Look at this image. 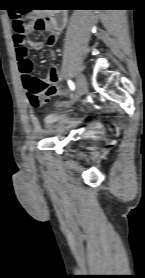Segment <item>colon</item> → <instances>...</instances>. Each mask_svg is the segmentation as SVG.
I'll list each match as a JSON object with an SVG mask.
<instances>
[{"mask_svg":"<svg viewBox=\"0 0 145 278\" xmlns=\"http://www.w3.org/2000/svg\"><path fill=\"white\" fill-rule=\"evenodd\" d=\"M12 26L14 30V37L17 42H20L23 46L22 47H16V55L19 58H23L27 54V48L26 44L28 43V37L26 36L25 30L26 26L21 21V19L17 17L12 18ZM48 26V20L43 18H36L33 22V27L35 30L42 31L46 29ZM18 48V49H17ZM31 87V93L29 95L30 102L33 106L38 107L40 106V98L38 95V91L35 85V82H32L30 84Z\"/></svg>","mask_w":145,"mask_h":278,"instance_id":"5ec220e1","label":"colon"}]
</instances>
